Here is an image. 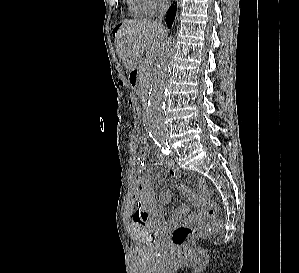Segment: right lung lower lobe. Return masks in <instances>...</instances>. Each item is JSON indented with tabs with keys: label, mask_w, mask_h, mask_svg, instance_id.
I'll return each instance as SVG.
<instances>
[{
	"label": "right lung lower lobe",
	"mask_w": 299,
	"mask_h": 273,
	"mask_svg": "<svg viewBox=\"0 0 299 273\" xmlns=\"http://www.w3.org/2000/svg\"><path fill=\"white\" fill-rule=\"evenodd\" d=\"M176 15V6L172 5L166 15V24L170 28Z\"/></svg>",
	"instance_id": "1"
}]
</instances>
